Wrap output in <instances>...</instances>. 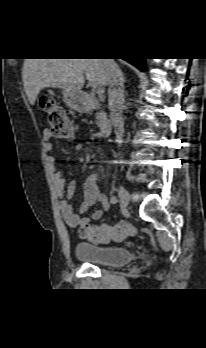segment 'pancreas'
<instances>
[{
    "label": "pancreas",
    "instance_id": "cf45deb5",
    "mask_svg": "<svg viewBox=\"0 0 206 348\" xmlns=\"http://www.w3.org/2000/svg\"><path fill=\"white\" fill-rule=\"evenodd\" d=\"M96 118H97V123H99V120H98L99 119V115L98 114L96 115Z\"/></svg>",
    "mask_w": 206,
    "mask_h": 348
}]
</instances>
